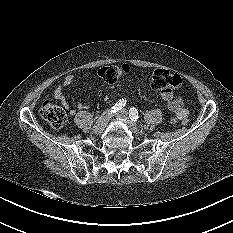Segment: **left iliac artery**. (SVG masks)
<instances>
[{
    "mask_svg": "<svg viewBox=\"0 0 233 233\" xmlns=\"http://www.w3.org/2000/svg\"><path fill=\"white\" fill-rule=\"evenodd\" d=\"M129 118L132 120V121H137V119L139 118L138 116V110L134 107L130 108L129 110Z\"/></svg>",
    "mask_w": 233,
    "mask_h": 233,
    "instance_id": "1",
    "label": "left iliac artery"
}]
</instances>
